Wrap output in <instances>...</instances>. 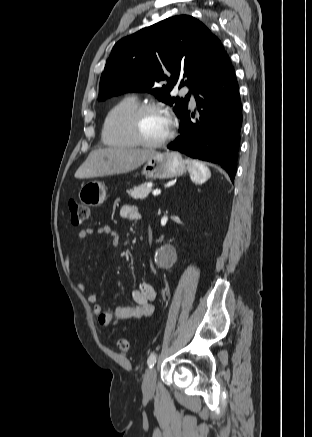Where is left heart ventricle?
<instances>
[{
  "mask_svg": "<svg viewBox=\"0 0 312 437\" xmlns=\"http://www.w3.org/2000/svg\"><path fill=\"white\" fill-rule=\"evenodd\" d=\"M169 130V120L161 112H148L141 118V132L150 141L163 139Z\"/></svg>",
  "mask_w": 312,
  "mask_h": 437,
  "instance_id": "obj_1",
  "label": "left heart ventricle"
}]
</instances>
